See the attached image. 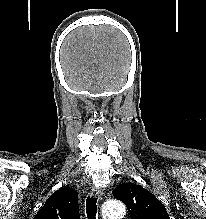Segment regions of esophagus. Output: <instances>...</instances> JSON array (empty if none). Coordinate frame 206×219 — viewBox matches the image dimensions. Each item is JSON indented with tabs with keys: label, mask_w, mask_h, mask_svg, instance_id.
Masks as SVG:
<instances>
[{
	"label": "esophagus",
	"mask_w": 206,
	"mask_h": 219,
	"mask_svg": "<svg viewBox=\"0 0 206 219\" xmlns=\"http://www.w3.org/2000/svg\"><path fill=\"white\" fill-rule=\"evenodd\" d=\"M90 195L92 197H98L99 199L102 198L103 192L100 188L98 187H92L91 191H90Z\"/></svg>",
	"instance_id": "obj_1"
}]
</instances>
